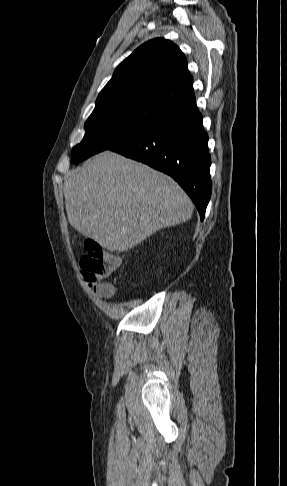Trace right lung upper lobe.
<instances>
[{
    "mask_svg": "<svg viewBox=\"0 0 287 486\" xmlns=\"http://www.w3.org/2000/svg\"><path fill=\"white\" fill-rule=\"evenodd\" d=\"M193 78L177 45L164 38L138 47L115 70L100 92L96 107L149 103L173 110L195 100Z\"/></svg>",
    "mask_w": 287,
    "mask_h": 486,
    "instance_id": "right-lung-upper-lobe-1",
    "label": "right lung upper lobe"
}]
</instances>
